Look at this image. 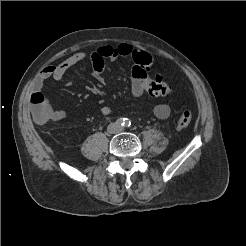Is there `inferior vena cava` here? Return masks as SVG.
<instances>
[{
	"label": "inferior vena cava",
	"instance_id": "602c4592",
	"mask_svg": "<svg viewBox=\"0 0 246 246\" xmlns=\"http://www.w3.org/2000/svg\"><path fill=\"white\" fill-rule=\"evenodd\" d=\"M120 131V129L119 128H116V129H114L112 132L113 133H117V132H119Z\"/></svg>",
	"mask_w": 246,
	"mask_h": 246
}]
</instances>
